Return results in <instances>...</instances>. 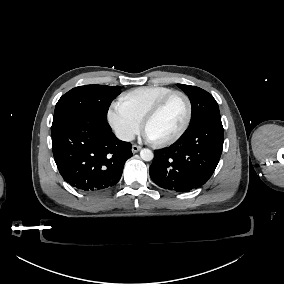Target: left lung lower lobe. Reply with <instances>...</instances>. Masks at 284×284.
I'll return each instance as SVG.
<instances>
[{
  "mask_svg": "<svg viewBox=\"0 0 284 284\" xmlns=\"http://www.w3.org/2000/svg\"><path fill=\"white\" fill-rule=\"evenodd\" d=\"M224 141L221 118H208L189 126L183 136L168 148L155 150L149 168L158 186L176 192H189L212 176Z\"/></svg>",
  "mask_w": 284,
  "mask_h": 284,
  "instance_id": "0a47b994",
  "label": "left lung lower lobe"
}]
</instances>
